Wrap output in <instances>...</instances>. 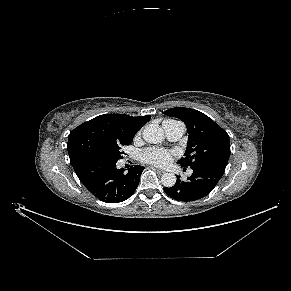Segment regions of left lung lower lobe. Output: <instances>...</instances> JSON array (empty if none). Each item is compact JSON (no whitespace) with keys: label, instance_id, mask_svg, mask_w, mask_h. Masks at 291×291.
Returning a JSON list of instances; mask_svg holds the SVG:
<instances>
[{"label":"left lung lower lobe","instance_id":"obj_1","mask_svg":"<svg viewBox=\"0 0 291 291\" xmlns=\"http://www.w3.org/2000/svg\"><path fill=\"white\" fill-rule=\"evenodd\" d=\"M191 169L193 173L186 181L180 180V176H177L174 186L164 188L168 196L182 202L195 201L207 196L222 177L225 166L206 164L196 165Z\"/></svg>","mask_w":291,"mask_h":291}]
</instances>
